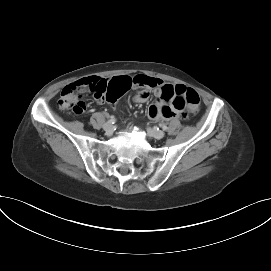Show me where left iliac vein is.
Segmentation results:
<instances>
[{
	"instance_id": "left-iliac-vein-1",
	"label": "left iliac vein",
	"mask_w": 271,
	"mask_h": 271,
	"mask_svg": "<svg viewBox=\"0 0 271 271\" xmlns=\"http://www.w3.org/2000/svg\"><path fill=\"white\" fill-rule=\"evenodd\" d=\"M148 133L156 139H161L165 136V133L163 131L154 128H148Z\"/></svg>"
}]
</instances>
